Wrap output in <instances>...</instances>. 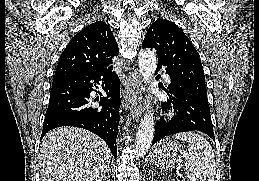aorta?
I'll list each match as a JSON object with an SVG mask.
<instances>
[{
	"mask_svg": "<svg viewBox=\"0 0 259 181\" xmlns=\"http://www.w3.org/2000/svg\"><path fill=\"white\" fill-rule=\"evenodd\" d=\"M139 70L145 82H149L153 77L156 67H157V59L156 55L153 51L149 49L141 50L139 53ZM151 104V96H147L146 106L147 112L144 114L143 119L140 122L137 136L135 149L137 157L142 158L146 152L149 150L155 131V123L154 117L151 113L150 109Z\"/></svg>",
	"mask_w": 259,
	"mask_h": 181,
	"instance_id": "aorta-1",
	"label": "aorta"
}]
</instances>
